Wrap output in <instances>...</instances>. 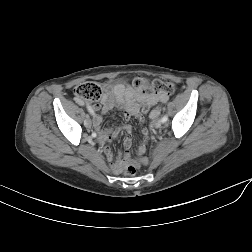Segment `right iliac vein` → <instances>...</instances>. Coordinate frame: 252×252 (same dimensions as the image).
Returning <instances> with one entry per match:
<instances>
[{
	"mask_svg": "<svg viewBox=\"0 0 252 252\" xmlns=\"http://www.w3.org/2000/svg\"><path fill=\"white\" fill-rule=\"evenodd\" d=\"M84 125L86 128H91L92 126V121L90 118H87L85 121H84Z\"/></svg>",
	"mask_w": 252,
	"mask_h": 252,
	"instance_id": "right-iliac-vein-1",
	"label": "right iliac vein"
}]
</instances>
